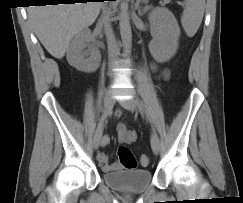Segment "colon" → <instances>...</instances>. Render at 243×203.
I'll list each match as a JSON object with an SVG mask.
<instances>
[{"label":"colon","mask_w":243,"mask_h":203,"mask_svg":"<svg viewBox=\"0 0 243 203\" xmlns=\"http://www.w3.org/2000/svg\"><path fill=\"white\" fill-rule=\"evenodd\" d=\"M119 160L122 164V166L127 169H135L137 166V160L126 146H120L117 151ZM140 164L142 166H147L149 164V157L146 155H143L140 157Z\"/></svg>","instance_id":"colon-1"}]
</instances>
